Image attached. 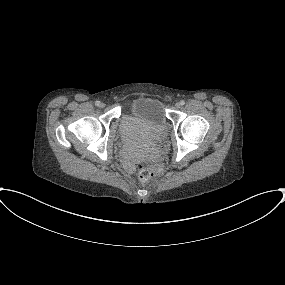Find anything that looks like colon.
Here are the masks:
<instances>
[{"label": "colon", "instance_id": "5ec220e1", "mask_svg": "<svg viewBox=\"0 0 285 285\" xmlns=\"http://www.w3.org/2000/svg\"><path fill=\"white\" fill-rule=\"evenodd\" d=\"M157 167L158 164L155 161L150 160L146 164H134L131 168L138 171L140 180L147 181L155 175Z\"/></svg>", "mask_w": 285, "mask_h": 285}]
</instances>
